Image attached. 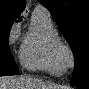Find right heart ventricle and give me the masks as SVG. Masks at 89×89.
<instances>
[{"mask_svg":"<svg viewBox=\"0 0 89 89\" xmlns=\"http://www.w3.org/2000/svg\"><path fill=\"white\" fill-rule=\"evenodd\" d=\"M59 40L50 14L34 12L20 50L22 65L32 71L61 75L65 69L57 54Z\"/></svg>","mask_w":89,"mask_h":89,"instance_id":"right-heart-ventricle-1","label":"right heart ventricle"}]
</instances>
